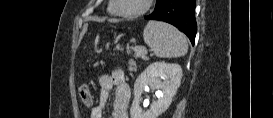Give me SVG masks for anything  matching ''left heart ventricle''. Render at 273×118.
<instances>
[{
	"instance_id": "1",
	"label": "left heart ventricle",
	"mask_w": 273,
	"mask_h": 118,
	"mask_svg": "<svg viewBox=\"0 0 273 118\" xmlns=\"http://www.w3.org/2000/svg\"><path fill=\"white\" fill-rule=\"evenodd\" d=\"M145 5V0H118V9L122 12H137Z\"/></svg>"
}]
</instances>
